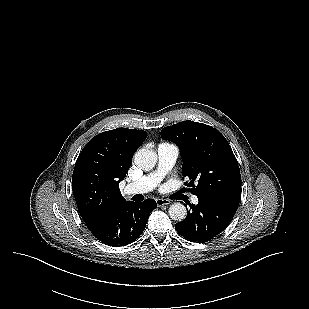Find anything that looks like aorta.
Masks as SVG:
<instances>
[{"instance_id": "aorta-1", "label": "aorta", "mask_w": 309, "mask_h": 309, "mask_svg": "<svg viewBox=\"0 0 309 309\" xmlns=\"http://www.w3.org/2000/svg\"><path fill=\"white\" fill-rule=\"evenodd\" d=\"M134 162L140 169L150 171L157 162V154L152 150L140 149L134 155ZM169 215L172 220L182 221L187 215L186 207L179 202L173 203L169 207Z\"/></svg>"}]
</instances>
